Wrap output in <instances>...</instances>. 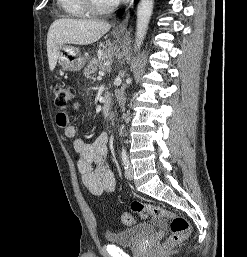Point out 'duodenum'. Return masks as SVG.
<instances>
[{"instance_id":"410a0bca","label":"duodenum","mask_w":247,"mask_h":257,"mask_svg":"<svg viewBox=\"0 0 247 257\" xmlns=\"http://www.w3.org/2000/svg\"><path fill=\"white\" fill-rule=\"evenodd\" d=\"M112 111V101L111 96L109 94H105L102 104V115L104 117L110 116Z\"/></svg>"}]
</instances>
